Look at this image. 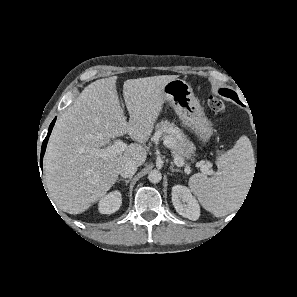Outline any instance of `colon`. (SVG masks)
I'll return each instance as SVG.
<instances>
[{"label":"colon","instance_id":"obj_1","mask_svg":"<svg viewBox=\"0 0 297 297\" xmlns=\"http://www.w3.org/2000/svg\"><path fill=\"white\" fill-rule=\"evenodd\" d=\"M208 104L211 110H213L216 113H222L225 110V105L223 101L215 95H211L209 97Z\"/></svg>","mask_w":297,"mask_h":297}]
</instances>
